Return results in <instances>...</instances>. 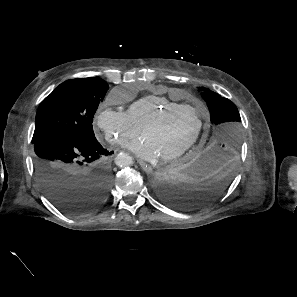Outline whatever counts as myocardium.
<instances>
[{
    "mask_svg": "<svg viewBox=\"0 0 297 297\" xmlns=\"http://www.w3.org/2000/svg\"><path fill=\"white\" fill-rule=\"evenodd\" d=\"M184 109H190L196 112L197 118H198L197 128L193 133V135L190 137V139L183 146H181L176 151H173L171 153H168L162 156L163 161H172L181 157L183 154H185L190 148H192L196 144L204 127V118H203V115H201V113L199 112V108L197 106H193L189 104H180V105L164 108L158 111L156 114H154L140 129V133L142 134L146 129L155 126L169 114L176 111L184 110Z\"/></svg>",
    "mask_w": 297,
    "mask_h": 297,
    "instance_id": "obj_1",
    "label": "myocardium"
}]
</instances>
